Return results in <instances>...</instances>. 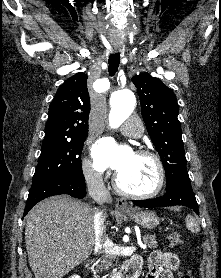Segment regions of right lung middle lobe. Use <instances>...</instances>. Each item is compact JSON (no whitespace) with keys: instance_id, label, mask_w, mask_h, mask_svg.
<instances>
[{"instance_id":"1","label":"right lung middle lobe","mask_w":221,"mask_h":278,"mask_svg":"<svg viewBox=\"0 0 221 278\" xmlns=\"http://www.w3.org/2000/svg\"><path fill=\"white\" fill-rule=\"evenodd\" d=\"M86 136L44 142L31 188L57 177L83 179L81 153Z\"/></svg>"}]
</instances>
